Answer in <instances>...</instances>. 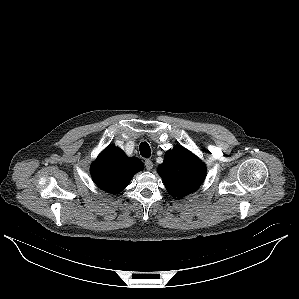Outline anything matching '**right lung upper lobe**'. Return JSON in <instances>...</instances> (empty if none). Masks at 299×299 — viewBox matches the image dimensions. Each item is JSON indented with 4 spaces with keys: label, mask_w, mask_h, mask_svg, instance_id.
Returning a JSON list of instances; mask_svg holds the SVG:
<instances>
[{
    "label": "right lung upper lobe",
    "mask_w": 299,
    "mask_h": 299,
    "mask_svg": "<svg viewBox=\"0 0 299 299\" xmlns=\"http://www.w3.org/2000/svg\"><path fill=\"white\" fill-rule=\"evenodd\" d=\"M137 157H128L115 145L106 147L91 166L92 179L102 190L115 194L122 191L132 177L143 170Z\"/></svg>",
    "instance_id": "1"
}]
</instances>
